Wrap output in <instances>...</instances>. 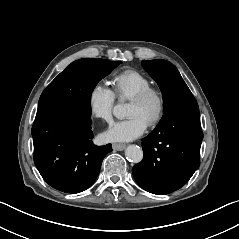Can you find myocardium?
<instances>
[{"label":"myocardium","instance_id":"1","mask_svg":"<svg viewBox=\"0 0 239 239\" xmlns=\"http://www.w3.org/2000/svg\"><path fill=\"white\" fill-rule=\"evenodd\" d=\"M150 98H154L157 102V110L148 123L149 126L153 127L162 120L166 112L167 102L164 91L158 86L150 85L134 94L130 101L144 103Z\"/></svg>","mask_w":239,"mask_h":239}]
</instances>
